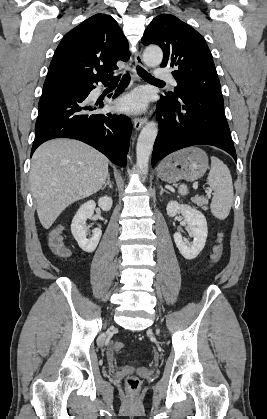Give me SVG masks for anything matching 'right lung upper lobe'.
Here are the masks:
<instances>
[{"mask_svg": "<svg viewBox=\"0 0 267 419\" xmlns=\"http://www.w3.org/2000/svg\"><path fill=\"white\" fill-rule=\"evenodd\" d=\"M128 41L116 20L96 14L69 31L58 45L44 86L110 79L119 60L127 61Z\"/></svg>", "mask_w": 267, "mask_h": 419, "instance_id": "cb5924a9", "label": "right lung upper lobe"}]
</instances>
